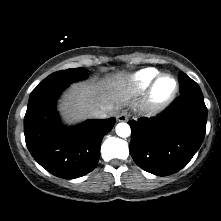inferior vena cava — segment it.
Masks as SVG:
<instances>
[{
    "instance_id": "inferior-vena-cava-1",
    "label": "inferior vena cava",
    "mask_w": 221,
    "mask_h": 221,
    "mask_svg": "<svg viewBox=\"0 0 221 221\" xmlns=\"http://www.w3.org/2000/svg\"><path fill=\"white\" fill-rule=\"evenodd\" d=\"M91 116L98 119H104L108 115L105 109H96L91 112Z\"/></svg>"
}]
</instances>
